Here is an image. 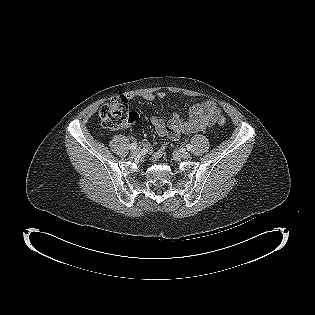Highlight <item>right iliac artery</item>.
<instances>
[{
	"label": "right iliac artery",
	"mask_w": 315,
	"mask_h": 315,
	"mask_svg": "<svg viewBox=\"0 0 315 315\" xmlns=\"http://www.w3.org/2000/svg\"><path fill=\"white\" fill-rule=\"evenodd\" d=\"M129 147H130L131 150H135L136 147H137V143L134 142V143H132Z\"/></svg>",
	"instance_id": "right-iliac-artery-1"
}]
</instances>
